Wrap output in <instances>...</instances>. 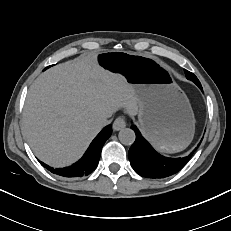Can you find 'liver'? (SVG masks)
Segmentation results:
<instances>
[{
    "mask_svg": "<svg viewBox=\"0 0 231 231\" xmlns=\"http://www.w3.org/2000/svg\"><path fill=\"white\" fill-rule=\"evenodd\" d=\"M140 104L123 76L96 62V54L56 65L41 74L27 94L22 130L34 154L54 167L76 162L101 130L100 121Z\"/></svg>",
    "mask_w": 231,
    "mask_h": 231,
    "instance_id": "6515ba94",
    "label": "liver"
}]
</instances>
